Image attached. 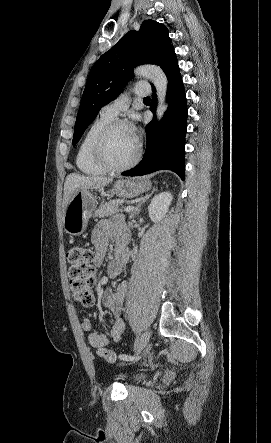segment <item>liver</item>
Returning a JSON list of instances; mask_svg holds the SVG:
<instances>
[{"mask_svg":"<svg viewBox=\"0 0 271 443\" xmlns=\"http://www.w3.org/2000/svg\"><path fill=\"white\" fill-rule=\"evenodd\" d=\"M113 182L112 178H91V176H80V174H69L64 184L63 210L77 190H99Z\"/></svg>","mask_w":271,"mask_h":443,"instance_id":"liver-1","label":"liver"}]
</instances>
